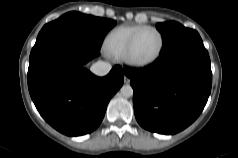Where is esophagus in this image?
Here are the masks:
<instances>
[{"label":"esophagus","instance_id":"1","mask_svg":"<svg viewBox=\"0 0 238 158\" xmlns=\"http://www.w3.org/2000/svg\"><path fill=\"white\" fill-rule=\"evenodd\" d=\"M124 83L129 84L130 83V78H128L127 76H124Z\"/></svg>","mask_w":238,"mask_h":158}]
</instances>
